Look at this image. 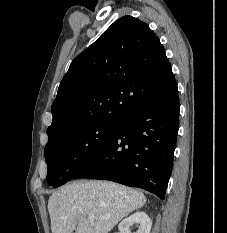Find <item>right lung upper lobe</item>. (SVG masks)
Instances as JSON below:
<instances>
[{
    "mask_svg": "<svg viewBox=\"0 0 227 233\" xmlns=\"http://www.w3.org/2000/svg\"><path fill=\"white\" fill-rule=\"evenodd\" d=\"M175 83L164 48L131 16L114 22L71 63L52 104L48 139L93 122H120Z\"/></svg>",
    "mask_w": 227,
    "mask_h": 233,
    "instance_id": "obj_1",
    "label": "right lung upper lobe"
}]
</instances>
